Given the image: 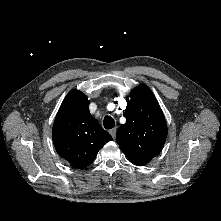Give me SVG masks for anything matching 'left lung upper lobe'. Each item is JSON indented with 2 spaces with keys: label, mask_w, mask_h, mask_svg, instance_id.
Here are the masks:
<instances>
[{
  "label": "left lung upper lobe",
  "mask_w": 221,
  "mask_h": 221,
  "mask_svg": "<svg viewBox=\"0 0 221 221\" xmlns=\"http://www.w3.org/2000/svg\"><path fill=\"white\" fill-rule=\"evenodd\" d=\"M125 113L127 122L117 131V143L130 162L146 165L159 154L165 143L164 114L153 92L143 84L133 90Z\"/></svg>",
  "instance_id": "left-lung-upper-lobe-1"
}]
</instances>
